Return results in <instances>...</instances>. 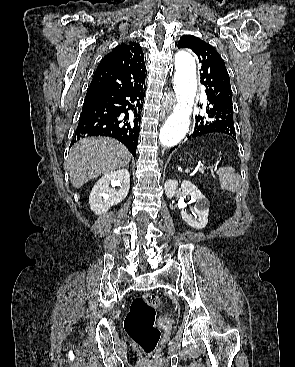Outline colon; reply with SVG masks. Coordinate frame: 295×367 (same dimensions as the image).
<instances>
[{"label":"colon","instance_id":"5ec220e1","mask_svg":"<svg viewBox=\"0 0 295 367\" xmlns=\"http://www.w3.org/2000/svg\"><path fill=\"white\" fill-rule=\"evenodd\" d=\"M159 297L145 293L133 299L124 321L127 335L146 356H151L160 340V330L155 325Z\"/></svg>","mask_w":295,"mask_h":367}]
</instances>
